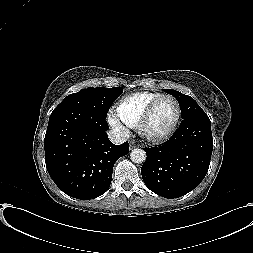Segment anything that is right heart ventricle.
<instances>
[{"instance_id": "obj_1", "label": "right heart ventricle", "mask_w": 253, "mask_h": 253, "mask_svg": "<svg viewBox=\"0 0 253 253\" xmlns=\"http://www.w3.org/2000/svg\"><path fill=\"white\" fill-rule=\"evenodd\" d=\"M157 92H137L124 97L116 107V117L129 128H136L147 107L161 96Z\"/></svg>"}]
</instances>
